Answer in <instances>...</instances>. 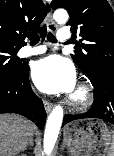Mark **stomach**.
I'll return each mask as SVG.
<instances>
[{
  "mask_svg": "<svg viewBox=\"0 0 114 156\" xmlns=\"http://www.w3.org/2000/svg\"><path fill=\"white\" fill-rule=\"evenodd\" d=\"M114 134L104 121L83 119L64 128V143L74 156H107Z\"/></svg>",
  "mask_w": 114,
  "mask_h": 156,
  "instance_id": "1",
  "label": "stomach"
}]
</instances>
